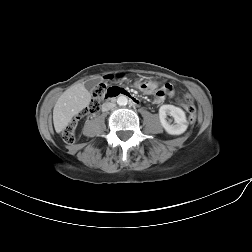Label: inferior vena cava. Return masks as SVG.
Segmentation results:
<instances>
[{
  "label": "inferior vena cava",
  "mask_w": 252,
  "mask_h": 252,
  "mask_svg": "<svg viewBox=\"0 0 252 252\" xmlns=\"http://www.w3.org/2000/svg\"><path fill=\"white\" fill-rule=\"evenodd\" d=\"M115 106H116L115 103L106 102V103H104V104L102 105V111L105 112V111L111 110V109H113Z\"/></svg>",
  "instance_id": "1"
}]
</instances>
